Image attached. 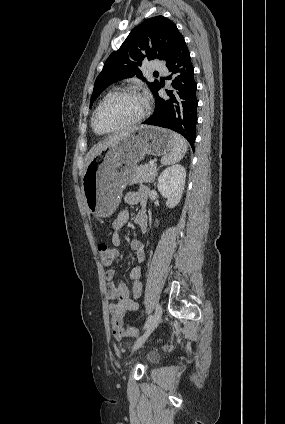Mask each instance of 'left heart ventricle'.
Listing matches in <instances>:
<instances>
[{
    "label": "left heart ventricle",
    "instance_id": "1",
    "mask_svg": "<svg viewBox=\"0 0 285 424\" xmlns=\"http://www.w3.org/2000/svg\"><path fill=\"white\" fill-rule=\"evenodd\" d=\"M145 102L138 95H121L110 99L99 110L97 127L107 130L121 126L137 118L144 110Z\"/></svg>",
    "mask_w": 285,
    "mask_h": 424
}]
</instances>
